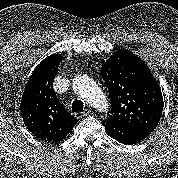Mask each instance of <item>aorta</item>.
Masks as SVG:
<instances>
[{
    "label": "aorta",
    "instance_id": "762f6f07",
    "mask_svg": "<svg viewBox=\"0 0 178 178\" xmlns=\"http://www.w3.org/2000/svg\"><path fill=\"white\" fill-rule=\"evenodd\" d=\"M72 88L76 94L80 95L84 100L99 111L107 110L108 102L106 97L91 78L86 75L75 76Z\"/></svg>",
    "mask_w": 178,
    "mask_h": 178
}]
</instances>
